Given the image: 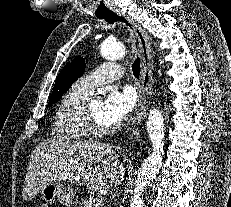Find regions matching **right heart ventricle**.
Masks as SVG:
<instances>
[{
	"label": "right heart ventricle",
	"mask_w": 231,
	"mask_h": 207,
	"mask_svg": "<svg viewBox=\"0 0 231 207\" xmlns=\"http://www.w3.org/2000/svg\"><path fill=\"white\" fill-rule=\"evenodd\" d=\"M89 93L74 84L62 97L54 117L53 134L66 142H82L92 135L82 122V109Z\"/></svg>",
	"instance_id": "1"
}]
</instances>
